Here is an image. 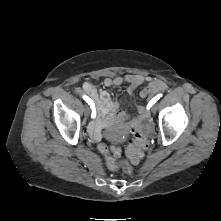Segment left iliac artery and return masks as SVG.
<instances>
[{
  "label": "left iliac artery",
  "mask_w": 221,
  "mask_h": 221,
  "mask_svg": "<svg viewBox=\"0 0 221 221\" xmlns=\"http://www.w3.org/2000/svg\"><path fill=\"white\" fill-rule=\"evenodd\" d=\"M162 97V94H158L157 96H155L148 104V108L152 107V105L159 100Z\"/></svg>",
  "instance_id": "1"
}]
</instances>
